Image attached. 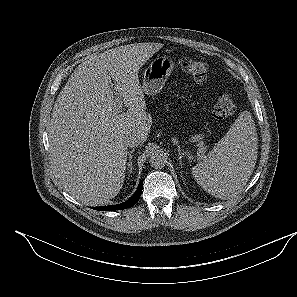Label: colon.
Listing matches in <instances>:
<instances>
[{
  "label": "colon",
  "mask_w": 297,
  "mask_h": 297,
  "mask_svg": "<svg viewBox=\"0 0 297 297\" xmlns=\"http://www.w3.org/2000/svg\"><path fill=\"white\" fill-rule=\"evenodd\" d=\"M181 69L188 74L195 81L203 82L207 79L208 65L206 62L182 58L179 60ZM236 110V103L234 99L228 94H221L216 99L213 115L217 119H224L232 115Z\"/></svg>",
  "instance_id": "1"
}]
</instances>
